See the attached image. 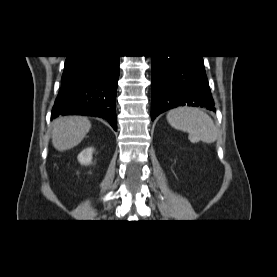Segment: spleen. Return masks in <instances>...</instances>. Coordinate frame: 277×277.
I'll list each match as a JSON object with an SVG mask.
<instances>
[{
  "label": "spleen",
  "instance_id": "obj_1",
  "mask_svg": "<svg viewBox=\"0 0 277 277\" xmlns=\"http://www.w3.org/2000/svg\"><path fill=\"white\" fill-rule=\"evenodd\" d=\"M167 121L175 129L189 133L190 140L213 143L217 130L209 115L198 108L179 107L167 114Z\"/></svg>",
  "mask_w": 277,
  "mask_h": 277
}]
</instances>
